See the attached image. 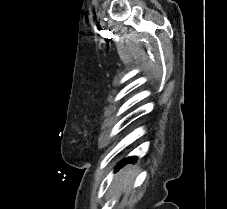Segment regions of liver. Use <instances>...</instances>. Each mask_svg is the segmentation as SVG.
Masks as SVG:
<instances>
[{
    "label": "liver",
    "instance_id": "6515ba94",
    "mask_svg": "<svg viewBox=\"0 0 227 209\" xmlns=\"http://www.w3.org/2000/svg\"><path fill=\"white\" fill-rule=\"evenodd\" d=\"M133 177H135L134 167H125L124 171H121L119 177H117V181H120L122 191L128 189L131 181H133Z\"/></svg>",
    "mask_w": 227,
    "mask_h": 209
}]
</instances>
